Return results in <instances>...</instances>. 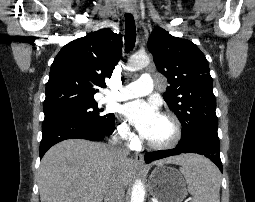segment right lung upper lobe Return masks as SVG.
<instances>
[{
	"instance_id": "right-lung-upper-lobe-1",
	"label": "right lung upper lobe",
	"mask_w": 255,
	"mask_h": 202,
	"mask_svg": "<svg viewBox=\"0 0 255 202\" xmlns=\"http://www.w3.org/2000/svg\"><path fill=\"white\" fill-rule=\"evenodd\" d=\"M122 36L100 29L65 45L55 57L46 85L44 113L95 102L96 87L105 80L121 57Z\"/></svg>"
}]
</instances>
